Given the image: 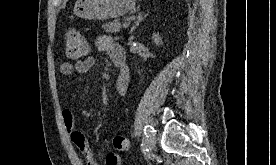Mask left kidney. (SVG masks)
Wrapping results in <instances>:
<instances>
[{"mask_svg": "<svg viewBox=\"0 0 276 165\" xmlns=\"http://www.w3.org/2000/svg\"><path fill=\"white\" fill-rule=\"evenodd\" d=\"M152 40L156 45H162V38L159 36V34L154 33L152 36Z\"/></svg>", "mask_w": 276, "mask_h": 165, "instance_id": "obj_1", "label": "left kidney"}]
</instances>
